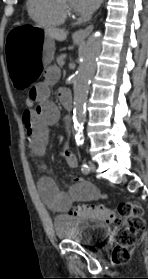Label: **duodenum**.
<instances>
[{"mask_svg": "<svg viewBox=\"0 0 148 279\" xmlns=\"http://www.w3.org/2000/svg\"><path fill=\"white\" fill-rule=\"evenodd\" d=\"M62 103L67 110L70 111L72 109V101L70 98H63Z\"/></svg>", "mask_w": 148, "mask_h": 279, "instance_id": "obj_1", "label": "duodenum"}]
</instances>
